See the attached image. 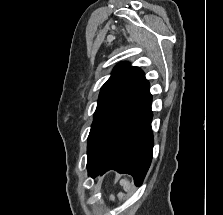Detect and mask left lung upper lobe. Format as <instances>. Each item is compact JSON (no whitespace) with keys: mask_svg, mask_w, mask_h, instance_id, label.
I'll list each match as a JSON object with an SVG mask.
<instances>
[{"mask_svg":"<svg viewBox=\"0 0 223 215\" xmlns=\"http://www.w3.org/2000/svg\"><path fill=\"white\" fill-rule=\"evenodd\" d=\"M149 82L143 71L120 63L101 88L94 120L88 136L87 163L114 126L146 95Z\"/></svg>","mask_w":223,"mask_h":215,"instance_id":"5c2ea615","label":"left lung upper lobe"}]
</instances>
